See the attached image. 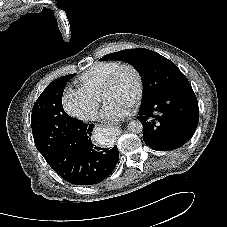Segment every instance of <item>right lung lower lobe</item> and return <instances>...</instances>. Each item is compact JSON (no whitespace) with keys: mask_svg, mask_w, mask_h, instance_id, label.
Wrapping results in <instances>:
<instances>
[{"mask_svg":"<svg viewBox=\"0 0 227 227\" xmlns=\"http://www.w3.org/2000/svg\"><path fill=\"white\" fill-rule=\"evenodd\" d=\"M93 124L72 118L63 127L59 142L45 158L50 167L65 181L75 185H93L107 178L114 170L119 151L100 148L91 141Z\"/></svg>","mask_w":227,"mask_h":227,"instance_id":"obj_1","label":"right lung lower lobe"}]
</instances>
